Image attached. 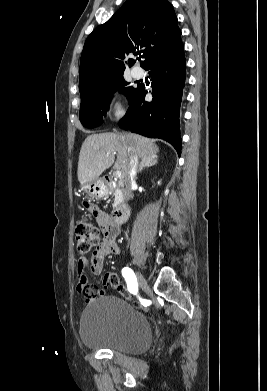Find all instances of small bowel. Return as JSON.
<instances>
[{"label": "small bowel", "mask_w": 267, "mask_h": 391, "mask_svg": "<svg viewBox=\"0 0 267 391\" xmlns=\"http://www.w3.org/2000/svg\"><path fill=\"white\" fill-rule=\"evenodd\" d=\"M84 208L90 212L98 225L101 227L104 238L100 247L89 258H82L78 262V284L77 290L84 296L86 302H91L97 296H103L110 285V278L113 273H107L104 276L101 287L88 284L86 271L94 275H100L103 271L104 260L110 255H118L120 247L117 242L119 228H114L110 224V218L107 213L101 210L97 205L91 202H84Z\"/></svg>", "instance_id": "obj_1"}]
</instances>
